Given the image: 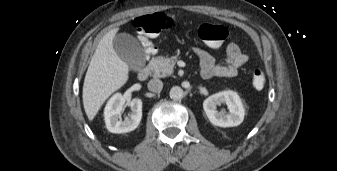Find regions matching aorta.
<instances>
[{"label": "aorta", "instance_id": "aorta-1", "mask_svg": "<svg viewBox=\"0 0 337 171\" xmlns=\"http://www.w3.org/2000/svg\"><path fill=\"white\" fill-rule=\"evenodd\" d=\"M169 95L173 100H181L184 96V92L181 87L174 86L171 88Z\"/></svg>", "mask_w": 337, "mask_h": 171}]
</instances>
